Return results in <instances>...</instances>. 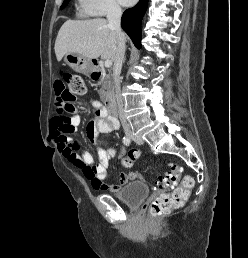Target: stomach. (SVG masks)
<instances>
[{
	"mask_svg": "<svg viewBox=\"0 0 248 258\" xmlns=\"http://www.w3.org/2000/svg\"><path fill=\"white\" fill-rule=\"evenodd\" d=\"M64 60L77 73L90 75L94 71V64L92 60L82 55L67 53L65 54Z\"/></svg>",
	"mask_w": 248,
	"mask_h": 258,
	"instance_id": "obj_1",
	"label": "stomach"
}]
</instances>
